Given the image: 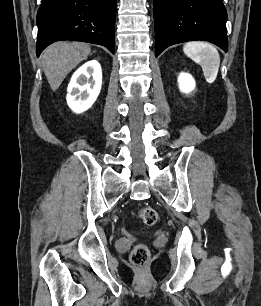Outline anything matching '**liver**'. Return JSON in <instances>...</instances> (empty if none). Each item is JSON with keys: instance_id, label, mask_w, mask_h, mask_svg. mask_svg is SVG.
Wrapping results in <instances>:
<instances>
[{"instance_id": "obj_1", "label": "liver", "mask_w": 261, "mask_h": 306, "mask_svg": "<svg viewBox=\"0 0 261 306\" xmlns=\"http://www.w3.org/2000/svg\"><path fill=\"white\" fill-rule=\"evenodd\" d=\"M91 48L81 42H56L41 55V64L48 83L56 91L67 74L90 54Z\"/></svg>"}]
</instances>
